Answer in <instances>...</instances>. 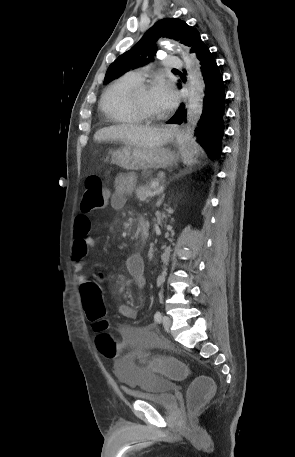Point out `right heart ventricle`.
<instances>
[{
  "mask_svg": "<svg viewBox=\"0 0 295 457\" xmlns=\"http://www.w3.org/2000/svg\"><path fill=\"white\" fill-rule=\"evenodd\" d=\"M140 81L127 74L112 83L104 90L100 108L107 118L114 123L137 124L141 120L132 112L128 103L130 90Z\"/></svg>",
  "mask_w": 295,
  "mask_h": 457,
  "instance_id": "right-heart-ventricle-1",
  "label": "right heart ventricle"
}]
</instances>
